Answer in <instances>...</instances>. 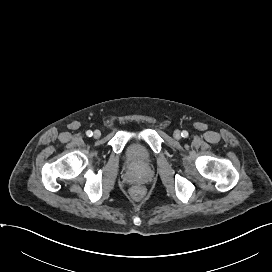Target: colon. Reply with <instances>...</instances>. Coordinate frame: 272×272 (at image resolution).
I'll list each match as a JSON object with an SVG mask.
<instances>
[{
    "label": "colon",
    "instance_id": "colon-1",
    "mask_svg": "<svg viewBox=\"0 0 272 272\" xmlns=\"http://www.w3.org/2000/svg\"><path fill=\"white\" fill-rule=\"evenodd\" d=\"M131 194L134 198H140L143 194V189L139 186H135L132 188Z\"/></svg>",
    "mask_w": 272,
    "mask_h": 272
}]
</instances>
